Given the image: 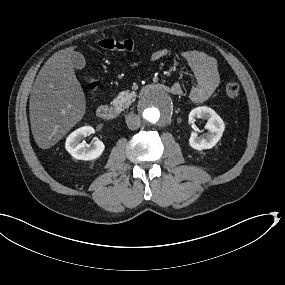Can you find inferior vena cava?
Listing matches in <instances>:
<instances>
[{"label": "inferior vena cava", "instance_id": "602c4592", "mask_svg": "<svg viewBox=\"0 0 285 285\" xmlns=\"http://www.w3.org/2000/svg\"><path fill=\"white\" fill-rule=\"evenodd\" d=\"M126 124L130 130H136L141 125L140 117L136 114H128L126 117Z\"/></svg>", "mask_w": 285, "mask_h": 285}]
</instances>
